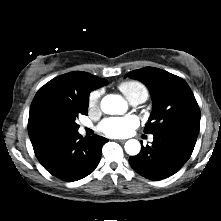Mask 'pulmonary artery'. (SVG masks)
<instances>
[{"mask_svg":"<svg viewBox=\"0 0 221 221\" xmlns=\"http://www.w3.org/2000/svg\"><path fill=\"white\" fill-rule=\"evenodd\" d=\"M144 101L143 98H135V99H132L130 102L131 104L133 105H137V104H140ZM80 133H84L85 132V127L84 126H81L80 129H79ZM152 140V138H151Z\"/></svg>","mask_w":221,"mask_h":221,"instance_id":"e3ab8cb5","label":"pulmonary artery"}]
</instances>
